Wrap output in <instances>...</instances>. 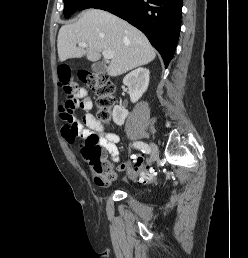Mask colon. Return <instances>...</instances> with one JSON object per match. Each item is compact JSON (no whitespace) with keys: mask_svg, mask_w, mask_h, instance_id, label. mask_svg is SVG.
Returning a JSON list of instances; mask_svg holds the SVG:
<instances>
[{"mask_svg":"<svg viewBox=\"0 0 248 258\" xmlns=\"http://www.w3.org/2000/svg\"><path fill=\"white\" fill-rule=\"evenodd\" d=\"M60 84L64 91L65 102L60 107V115L64 122L62 130L70 142L76 139L77 130L73 125V115L76 108V94L79 86L70 82L71 70L65 63L59 65ZM79 79L86 83L87 86L97 96L98 118L104 123H108L111 119V110L114 104L113 92L114 84L110 79L101 74L81 73ZM82 154L90 167L91 173L97 180L110 182L115 178V171L112 166L104 160V154L99 137L91 134L83 139L81 143ZM128 173L138 175V179L145 182H152L156 179L153 172H145L148 170L147 163L142 155H130L127 162Z\"/></svg>","mask_w":248,"mask_h":258,"instance_id":"obj_1","label":"colon"}]
</instances>
